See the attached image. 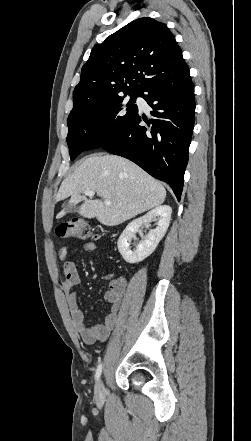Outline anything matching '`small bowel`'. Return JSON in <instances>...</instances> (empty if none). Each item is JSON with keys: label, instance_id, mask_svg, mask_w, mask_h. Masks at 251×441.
Listing matches in <instances>:
<instances>
[{"label": "small bowel", "instance_id": "c3829d8e", "mask_svg": "<svg viewBox=\"0 0 251 441\" xmlns=\"http://www.w3.org/2000/svg\"><path fill=\"white\" fill-rule=\"evenodd\" d=\"M85 252L93 253L96 245L93 242H86L83 246ZM69 254L67 246H61L58 250V256L61 260H66ZM63 273L65 280L63 282V291L66 295L67 306L75 330L86 344L105 341L113 331L117 314L125 293L126 281L123 278H115L109 282V287L104 294L105 301L109 304V309L103 322L94 326H87L83 312L78 306V292L81 288V277L74 262L65 261L63 264Z\"/></svg>", "mask_w": 251, "mask_h": 441}]
</instances>
